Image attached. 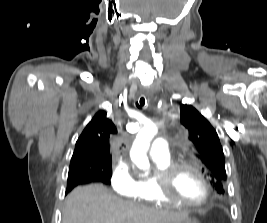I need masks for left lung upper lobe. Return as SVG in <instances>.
<instances>
[{"label": "left lung upper lobe", "mask_w": 267, "mask_h": 223, "mask_svg": "<svg viewBox=\"0 0 267 223\" xmlns=\"http://www.w3.org/2000/svg\"><path fill=\"white\" fill-rule=\"evenodd\" d=\"M181 124L188 132V139L194 145L198 158L208 170L210 183L220 194L224 193L222 183L226 180L225 160L218 135L209 121L193 106L181 104Z\"/></svg>", "instance_id": "obj_1"}]
</instances>
